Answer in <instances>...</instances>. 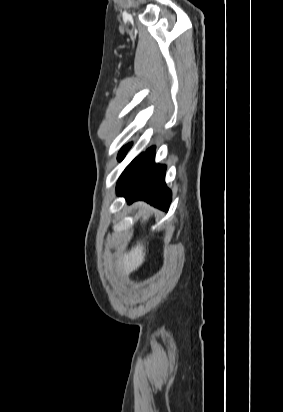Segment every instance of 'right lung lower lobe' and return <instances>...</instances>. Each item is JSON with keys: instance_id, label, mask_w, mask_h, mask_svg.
I'll return each mask as SVG.
<instances>
[{"instance_id": "right-lung-lower-lobe-1", "label": "right lung lower lobe", "mask_w": 283, "mask_h": 412, "mask_svg": "<svg viewBox=\"0 0 283 412\" xmlns=\"http://www.w3.org/2000/svg\"><path fill=\"white\" fill-rule=\"evenodd\" d=\"M155 147L135 158L120 176L116 193L126 198L128 203L144 200L151 205L168 211L171 191L165 184L164 165L154 162Z\"/></svg>"}]
</instances>
